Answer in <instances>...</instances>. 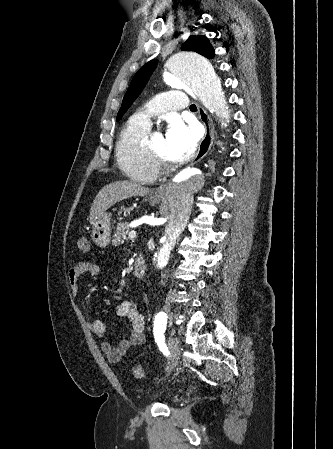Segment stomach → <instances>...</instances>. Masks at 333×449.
<instances>
[{
  "label": "stomach",
  "mask_w": 333,
  "mask_h": 449,
  "mask_svg": "<svg viewBox=\"0 0 333 449\" xmlns=\"http://www.w3.org/2000/svg\"><path fill=\"white\" fill-rule=\"evenodd\" d=\"M161 198H151V204H157ZM110 216L107 213H103L97 220L92 224V240L96 245L103 248L107 246L110 242L111 234V222Z\"/></svg>",
  "instance_id": "obj_1"
}]
</instances>
